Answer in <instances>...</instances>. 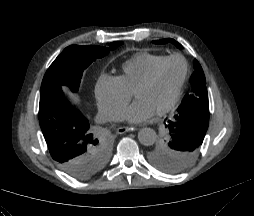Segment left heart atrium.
Returning <instances> with one entry per match:
<instances>
[{
	"instance_id": "1",
	"label": "left heart atrium",
	"mask_w": 254,
	"mask_h": 216,
	"mask_svg": "<svg viewBox=\"0 0 254 216\" xmlns=\"http://www.w3.org/2000/svg\"><path fill=\"white\" fill-rule=\"evenodd\" d=\"M156 114V110L143 100L136 99L124 112V119L129 123H141Z\"/></svg>"
}]
</instances>
